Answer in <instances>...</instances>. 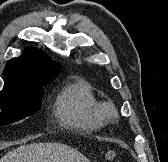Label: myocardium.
<instances>
[{
    "instance_id": "f54148a6",
    "label": "myocardium",
    "mask_w": 168,
    "mask_h": 162,
    "mask_svg": "<svg viewBox=\"0 0 168 162\" xmlns=\"http://www.w3.org/2000/svg\"><path fill=\"white\" fill-rule=\"evenodd\" d=\"M102 113L105 119H113L116 116V109L111 103L102 104Z\"/></svg>"
}]
</instances>
